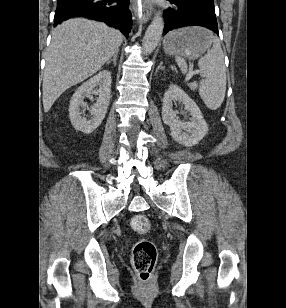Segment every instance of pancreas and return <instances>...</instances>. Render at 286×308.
<instances>
[{
	"instance_id": "cf45deb5",
	"label": "pancreas",
	"mask_w": 286,
	"mask_h": 308,
	"mask_svg": "<svg viewBox=\"0 0 286 308\" xmlns=\"http://www.w3.org/2000/svg\"><path fill=\"white\" fill-rule=\"evenodd\" d=\"M191 89L194 90V89H195V86L192 85V86H191Z\"/></svg>"
}]
</instances>
